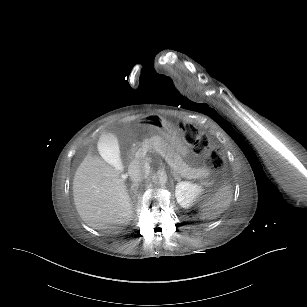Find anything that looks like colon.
<instances>
[{"mask_svg": "<svg viewBox=\"0 0 307 307\" xmlns=\"http://www.w3.org/2000/svg\"><path fill=\"white\" fill-rule=\"evenodd\" d=\"M183 137L186 143L199 149L204 155L205 163L215 169L220 170L224 166L222 152L215 147H209L208 140L205 135H201L198 129L191 125H182Z\"/></svg>", "mask_w": 307, "mask_h": 307, "instance_id": "1", "label": "colon"}]
</instances>
